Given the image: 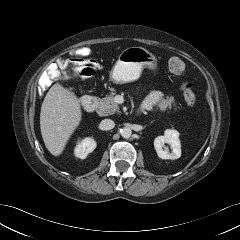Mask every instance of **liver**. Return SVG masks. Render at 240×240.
Returning a JSON list of instances; mask_svg holds the SVG:
<instances>
[{"label":"liver","mask_w":240,"mask_h":240,"mask_svg":"<svg viewBox=\"0 0 240 240\" xmlns=\"http://www.w3.org/2000/svg\"><path fill=\"white\" fill-rule=\"evenodd\" d=\"M82 119L80 100L61 84H54L41 106L40 129L47 150L59 156Z\"/></svg>","instance_id":"liver-1"}]
</instances>
